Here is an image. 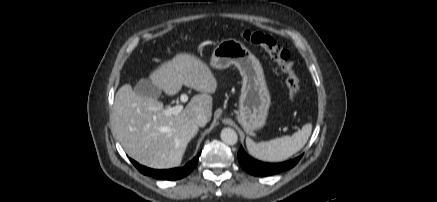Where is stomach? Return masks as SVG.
<instances>
[{
  "instance_id": "obj_1",
  "label": "stomach",
  "mask_w": 437,
  "mask_h": 202,
  "mask_svg": "<svg viewBox=\"0 0 437 202\" xmlns=\"http://www.w3.org/2000/svg\"><path fill=\"white\" fill-rule=\"evenodd\" d=\"M210 64L216 69L235 65L242 76L236 119L247 134L262 129L268 117L271 96L260 61L240 41L226 39L213 50Z\"/></svg>"
}]
</instances>
